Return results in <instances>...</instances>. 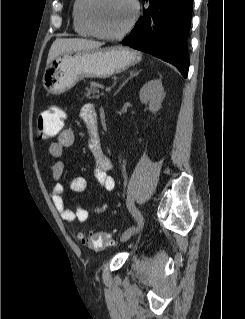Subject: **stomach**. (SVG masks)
I'll list each match as a JSON object with an SVG mask.
<instances>
[{
	"instance_id": "stomach-1",
	"label": "stomach",
	"mask_w": 245,
	"mask_h": 319,
	"mask_svg": "<svg viewBox=\"0 0 245 319\" xmlns=\"http://www.w3.org/2000/svg\"><path fill=\"white\" fill-rule=\"evenodd\" d=\"M140 60V53L120 46L62 53L47 65L42 82L49 93L60 95L84 77H109Z\"/></svg>"
}]
</instances>
